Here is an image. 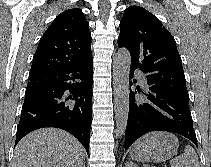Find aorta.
<instances>
[{"instance_id":"obj_1","label":"aorta","mask_w":211,"mask_h":167,"mask_svg":"<svg viewBox=\"0 0 211 167\" xmlns=\"http://www.w3.org/2000/svg\"><path fill=\"white\" fill-rule=\"evenodd\" d=\"M131 56L126 48L118 50L113 59L114 110L117 131L125 134L129 113V73Z\"/></svg>"}]
</instances>
